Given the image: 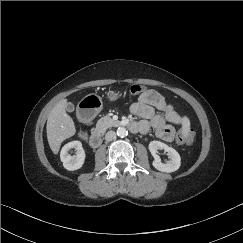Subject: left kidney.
I'll return each instance as SVG.
<instances>
[{
  "mask_svg": "<svg viewBox=\"0 0 243 243\" xmlns=\"http://www.w3.org/2000/svg\"><path fill=\"white\" fill-rule=\"evenodd\" d=\"M158 150H164L168 153V156L170 160L166 163H163L160 159V157L157 155ZM149 151L151 152L152 156L154 157V161L152 165L161 172H174L179 169L180 167V155L179 153L173 149L172 147H169L163 142L160 141H151L149 144Z\"/></svg>",
  "mask_w": 243,
  "mask_h": 243,
  "instance_id": "left-kidney-1",
  "label": "left kidney"
}]
</instances>
